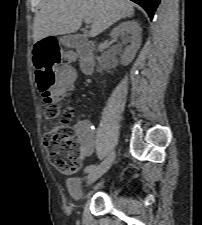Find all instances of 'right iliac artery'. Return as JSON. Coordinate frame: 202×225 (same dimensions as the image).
Segmentation results:
<instances>
[{
  "label": "right iliac artery",
  "mask_w": 202,
  "mask_h": 225,
  "mask_svg": "<svg viewBox=\"0 0 202 225\" xmlns=\"http://www.w3.org/2000/svg\"><path fill=\"white\" fill-rule=\"evenodd\" d=\"M97 166L96 165H89L85 168L84 172L88 173L90 171H92L93 169H95Z\"/></svg>",
  "instance_id": "obj_1"
}]
</instances>
